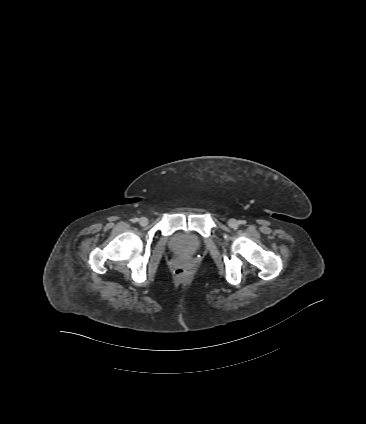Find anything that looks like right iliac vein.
Listing matches in <instances>:
<instances>
[{
    "label": "right iliac vein",
    "instance_id": "63e3f726",
    "mask_svg": "<svg viewBox=\"0 0 366 424\" xmlns=\"http://www.w3.org/2000/svg\"><path fill=\"white\" fill-rule=\"evenodd\" d=\"M139 224L141 225V226H147L148 225V219L146 218V217H142V218H140L139 219Z\"/></svg>",
    "mask_w": 366,
    "mask_h": 424
}]
</instances>
